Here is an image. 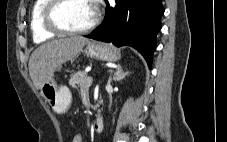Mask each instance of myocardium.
I'll return each mask as SVG.
<instances>
[{"label":"myocardium","mask_w":227,"mask_h":142,"mask_svg":"<svg viewBox=\"0 0 227 142\" xmlns=\"http://www.w3.org/2000/svg\"><path fill=\"white\" fill-rule=\"evenodd\" d=\"M68 0H50L49 3L46 5L43 11V22L46 29L61 35H75V34H82L85 32L90 31L93 29L98 23V13L95 12V16L93 20L86 26L76 29H71L63 26L59 19L58 14L61 7L67 2Z\"/></svg>","instance_id":"obj_1"}]
</instances>
